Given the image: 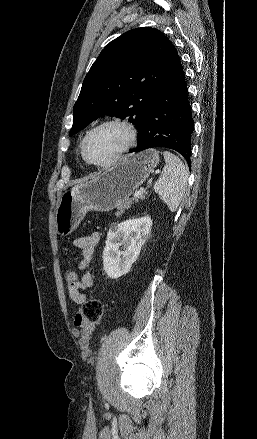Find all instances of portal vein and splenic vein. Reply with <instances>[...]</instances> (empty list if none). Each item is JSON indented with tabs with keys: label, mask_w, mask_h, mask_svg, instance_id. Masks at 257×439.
Wrapping results in <instances>:
<instances>
[{
	"label": "portal vein and splenic vein",
	"mask_w": 257,
	"mask_h": 439,
	"mask_svg": "<svg viewBox=\"0 0 257 439\" xmlns=\"http://www.w3.org/2000/svg\"><path fill=\"white\" fill-rule=\"evenodd\" d=\"M149 184H152V180H150ZM145 191H146L145 188H140V190L135 191V193H134V197H138V196H140V195L143 194Z\"/></svg>",
	"instance_id": "18ae733b"
}]
</instances>
